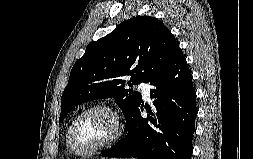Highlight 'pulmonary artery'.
I'll return each mask as SVG.
<instances>
[{"instance_id":"pulmonary-artery-1","label":"pulmonary artery","mask_w":253,"mask_h":159,"mask_svg":"<svg viewBox=\"0 0 253 159\" xmlns=\"http://www.w3.org/2000/svg\"><path fill=\"white\" fill-rule=\"evenodd\" d=\"M137 88L141 90L143 97L147 100L150 97V86L147 81H141L137 85Z\"/></svg>"}]
</instances>
